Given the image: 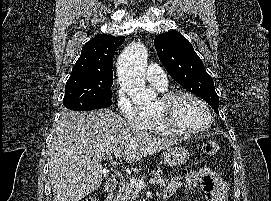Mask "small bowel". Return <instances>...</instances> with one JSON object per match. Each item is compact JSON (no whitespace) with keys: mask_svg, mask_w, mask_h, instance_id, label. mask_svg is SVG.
Wrapping results in <instances>:
<instances>
[{"mask_svg":"<svg viewBox=\"0 0 271 201\" xmlns=\"http://www.w3.org/2000/svg\"><path fill=\"white\" fill-rule=\"evenodd\" d=\"M180 188H185L188 191L196 188L201 189L205 201H229L227 184L217 173L206 167L190 171L184 177H173L164 188L163 196L170 198Z\"/></svg>","mask_w":271,"mask_h":201,"instance_id":"c3829d8e","label":"small bowel"}]
</instances>
